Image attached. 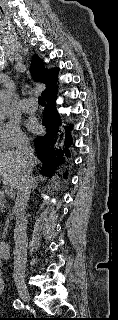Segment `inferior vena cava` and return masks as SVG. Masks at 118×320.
<instances>
[{
	"instance_id": "1",
	"label": "inferior vena cava",
	"mask_w": 118,
	"mask_h": 320,
	"mask_svg": "<svg viewBox=\"0 0 118 320\" xmlns=\"http://www.w3.org/2000/svg\"><path fill=\"white\" fill-rule=\"evenodd\" d=\"M17 152L20 155L24 169L18 185V192L13 207V214L16 216V224L14 229V273L15 282H23L25 278L28 239L26 234L27 219L25 217V209L30 197L33 177L32 169L34 166V150L30 146L29 140L22 138L18 144Z\"/></svg>"
}]
</instances>
